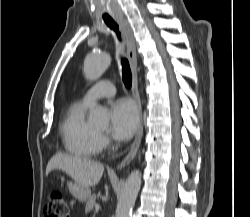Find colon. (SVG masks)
Here are the masks:
<instances>
[{"instance_id":"colon-1","label":"colon","mask_w":250,"mask_h":217,"mask_svg":"<svg viewBox=\"0 0 250 217\" xmlns=\"http://www.w3.org/2000/svg\"><path fill=\"white\" fill-rule=\"evenodd\" d=\"M44 217H70L69 207L63 193L52 192L44 207Z\"/></svg>"}]
</instances>
